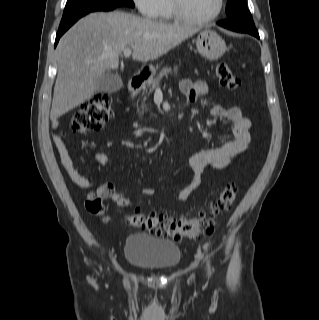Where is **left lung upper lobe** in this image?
<instances>
[{
  "label": "left lung upper lobe",
  "mask_w": 319,
  "mask_h": 320,
  "mask_svg": "<svg viewBox=\"0 0 319 320\" xmlns=\"http://www.w3.org/2000/svg\"><path fill=\"white\" fill-rule=\"evenodd\" d=\"M226 14L229 20L254 23L251 13L247 8L246 0H228Z\"/></svg>",
  "instance_id": "1"
}]
</instances>
